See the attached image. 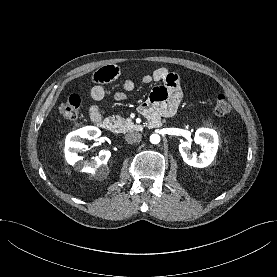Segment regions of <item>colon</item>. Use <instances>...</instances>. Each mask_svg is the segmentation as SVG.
I'll return each instance as SVG.
<instances>
[{
    "instance_id": "1",
    "label": "colon",
    "mask_w": 277,
    "mask_h": 277,
    "mask_svg": "<svg viewBox=\"0 0 277 277\" xmlns=\"http://www.w3.org/2000/svg\"><path fill=\"white\" fill-rule=\"evenodd\" d=\"M81 107V98L77 94H72L69 98L61 104L60 112L62 116L67 119H75L78 116ZM213 109L217 116L225 117L230 111L231 107L226 97L222 94L218 95L213 101Z\"/></svg>"
}]
</instances>
